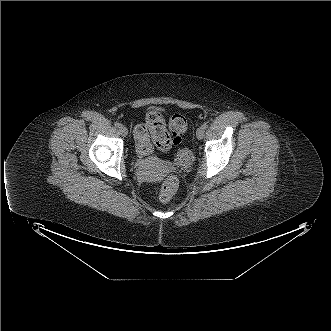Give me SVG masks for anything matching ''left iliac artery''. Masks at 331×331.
<instances>
[{"instance_id":"left-iliac-artery-1","label":"left iliac artery","mask_w":331,"mask_h":331,"mask_svg":"<svg viewBox=\"0 0 331 331\" xmlns=\"http://www.w3.org/2000/svg\"><path fill=\"white\" fill-rule=\"evenodd\" d=\"M201 127H202L203 129H207V128H208V124H207V123H204Z\"/></svg>"}]
</instances>
